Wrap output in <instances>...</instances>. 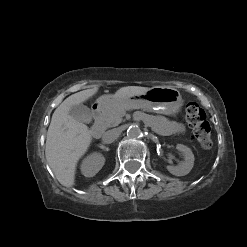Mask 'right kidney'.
I'll return each instance as SVG.
<instances>
[{
    "label": "right kidney",
    "mask_w": 247,
    "mask_h": 247,
    "mask_svg": "<svg viewBox=\"0 0 247 247\" xmlns=\"http://www.w3.org/2000/svg\"><path fill=\"white\" fill-rule=\"evenodd\" d=\"M105 158L101 153H92L88 155L81 164V172L85 177L95 176L103 167Z\"/></svg>",
    "instance_id": "right-kidney-1"
}]
</instances>
